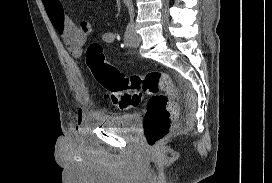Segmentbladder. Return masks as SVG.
<instances>
[{"label": "bladder", "mask_w": 272, "mask_h": 183, "mask_svg": "<svg viewBox=\"0 0 272 183\" xmlns=\"http://www.w3.org/2000/svg\"><path fill=\"white\" fill-rule=\"evenodd\" d=\"M139 118L140 117L137 113H124L103 116L97 121H99L104 128L132 132L135 130L139 122Z\"/></svg>", "instance_id": "bladder-1"}]
</instances>
